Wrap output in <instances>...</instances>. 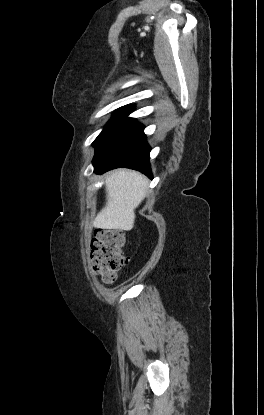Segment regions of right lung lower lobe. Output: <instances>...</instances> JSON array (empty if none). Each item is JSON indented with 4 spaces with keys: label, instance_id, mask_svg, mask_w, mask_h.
<instances>
[{
    "label": "right lung lower lobe",
    "instance_id": "98d812e1",
    "mask_svg": "<svg viewBox=\"0 0 264 415\" xmlns=\"http://www.w3.org/2000/svg\"><path fill=\"white\" fill-rule=\"evenodd\" d=\"M143 130V125L127 115L115 123L94 145V171L104 173L127 167L152 177L149 165L151 149Z\"/></svg>",
    "mask_w": 264,
    "mask_h": 415
}]
</instances>
